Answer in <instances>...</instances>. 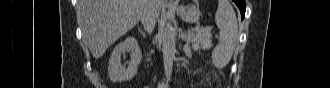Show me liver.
<instances>
[{
    "mask_svg": "<svg viewBox=\"0 0 330 88\" xmlns=\"http://www.w3.org/2000/svg\"><path fill=\"white\" fill-rule=\"evenodd\" d=\"M147 0H79L77 15L84 42L94 58L101 57L119 37L141 19ZM162 0H156L160 14Z\"/></svg>",
    "mask_w": 330,
    "mask_h": 88,
    "instance_id": "obj_1",
    "label": "liver"
}]
</instances>
